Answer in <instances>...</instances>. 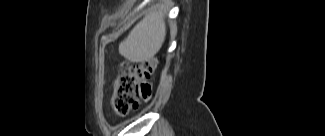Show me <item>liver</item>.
<instances>
[{
	"label": "liver",
	"mask_w": 325,
	"mask_h": 136,
	"mask_svg": "<svg viewBox=\"0 0 325 136\" xmlns=\"http://www.w3.org/2000/svg\"><path fill=\"white\" fill-rule=\"evenodd\" d=\"M172 6L171 0H163L157 11L146 15L119 44L121 55L132 62H143L152 58L164 43L165 15Z\"/></svg>",
	"instance_id": "obj_1"
}]
</instances>
